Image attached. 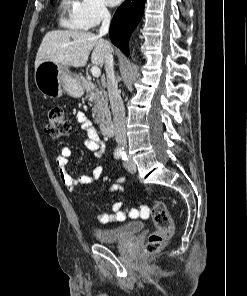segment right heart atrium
<instances>
[{
	"label": "right heart atrium",
	"mask_w": 247,
	"mask_h": 296,
	"mask_svg": "<svg viewBox=\"0 0 247 296\" xmlns=\"http://www.w3.org/2000/svg\"><path fill=\"white\" fill-rule=\"evenodd\" d=\"M111 16L105 0H79L75 18L87 29L99 25Z\"/></svg>",
	"instance_id": "obj_1"
}]
</instances>
